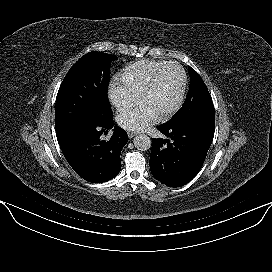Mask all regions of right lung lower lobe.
<instances>
[{
	"instance_id": "right-lung-lower-lobe-1",
	"label": "right lung lower lobe",
	"mask_w": 272,
	"mask_h": 272,
	"mask_svg": "<svg viewBox=\"0 0 272 272\" xmlns=\"http://www.w3.org/2000/svg\"><path fill=\"white\" fill-rule=\"evenodd\" d=\"M109 141L100 136L113 128ZM128 141L127 133L114 126L113 117L102 123H83L58 140L64 157L84 180L102 183L116 177L121 170L120 153Z\"/></svg>"
}]
</instances>
